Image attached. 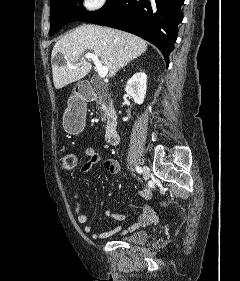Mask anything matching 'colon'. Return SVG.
I'll list each match as a JSON object with an SVG mask.
<instances>
[{"instance_id":"obj_1","label":"colon","mask_w":240,"mask_h":281,"mask_svg":"<svg viewBox=\"0 0 240 281\" xmlns=\"http://www.w3.org/2000/svg\"><path fill=\"white\" fill-rule=\"evenodd\" d=\"M79 158L73 151H66L61 157V167L63 170L72 171L78 167Z\"/></svg>"}]
</instances>
